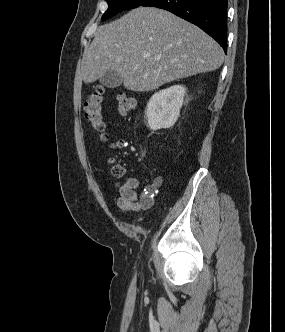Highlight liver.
I'll use <instances>...</instances> for the list:
<instances>
[{"label":"liver","instance_id":"obj_1","mask_svg":"<svg viewBox=\"0 0 285 332\" xmlns=\"http://www.w3.org/2000/svg\"><path fill=\"white\" fill-rule=\"evenodd\" d=\"M221 46L199 27L154 7H138L97 29L81 64L83 81L117 72L124 87L145 92L218 69Z\"/></svg>","mask_w":285,"mask_h":332}]
</instances>
